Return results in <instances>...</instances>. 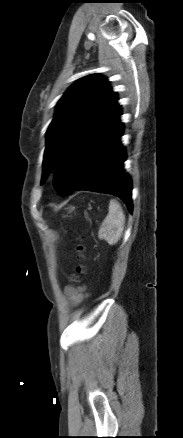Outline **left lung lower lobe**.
I'll use <instances>...</instances> for the list:
<instances>
[{
  "instance_id": "1",
  "label": "left lung lower lobe",
  "mask_w": 183,
  "mask_h": 438,
  "mask_svg": "<svg viewBox=\"0 0 183 438\" xmlns=\"http://www.w3.org/2000/svg\"><path fill=\"white\" fill-rule=\"evenodd\" d=\"M121 110L78 143L60 162L53 174L57 192L67 196L88 190L115 195L132 211V184L123 163L125 150L120 143L123 125Z\"/></svg>"
}]
</instances>
